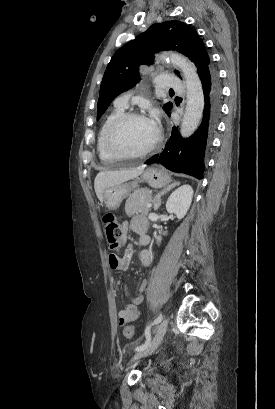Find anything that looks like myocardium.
<instances>
[{
  "instance_id": "myocardium-1",
  "label": "myocardium",
  "mask_w": 275,
  "mask_h": 409,
  "mask_svg": "<svg viewBox=\"0 0 275 409\" xmlns=\"http://www.w3.org/2000/svg\"><path fill=\"white\" fill-rule=\"evenodd\" d=\"M131 120H145L151 123V121L141 113L137 112H127L120 115L112 123L105 140V150L108 157H140L150 153L156 145L159 143L161 138V131L157 126L151 123L154 127L155 133L151 141L142 149L129 151V152H115L113 149V143L119 128L124 125L126 122Z\"/></svg>"
}]
</instances>
